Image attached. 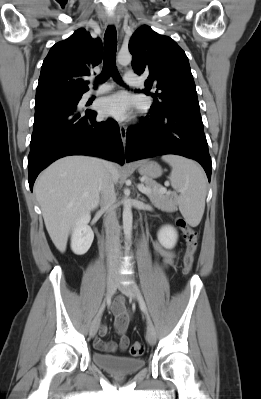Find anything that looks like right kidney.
Wrapping results in <instances>:
<instances>
[{
    "label": "right kidney",
    "mask_w": 261,
    "mask_h": 399,
    "mask_svg": "<svg viewBox=\"0 0 261 399\" xmlns=\"http://www.w3.org/2000/svg\"><path fill=\"white\" fill-rule=\"evenodd\" d=\"M91 216L89 213L77 220L71 234V249L76 255L85 254L94 239V233L88 225Z\"/></svg>",
    "instance_id": "ca27d5eb"
}]
</instances>
